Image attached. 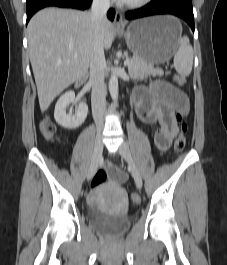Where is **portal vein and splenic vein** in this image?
<instances>
[{
  "label": "portal vein and splenic vein",
  "mask_w": 227,
  "mask_h": 265,
  "mask_svg": "<svg viewBox=\"0 0 227 265\" xmlns=\"http://www.w3.org/2000/svg\"><path fill=\"white\" fill-rule=\"evenodd\" d=\"M75 57H77V56H75ZM130 63H131V61H130L129 59H126L125 62H124V64H125L126 66L130 65Z\"/></svg>",
  "instance_id": "obj_1"
}]
</instances>
